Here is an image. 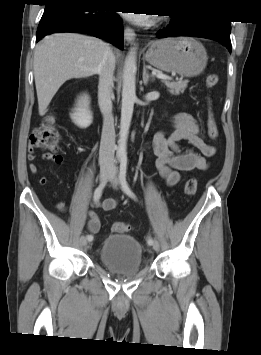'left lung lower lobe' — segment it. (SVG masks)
<instances>
[{
	"instance_id": "left-lung-lower-lobe-1",
	"label": "left lung lower lobe",
	"mask_w": 261,
	"mask_h": 355,
	"mask_svg": "<svg viewBox=\"0 0 261 355\" xmlns=\"http://www.w3.org/2000/svg\"><path fill=\"white\" fill-rule=\"evenodd\" d=\"M173 19L165 30L156 34L157 38L171 36H192L211 39L222 43L231 52L229 20L170 16Z\"/></svg>"
}]
</instances>
